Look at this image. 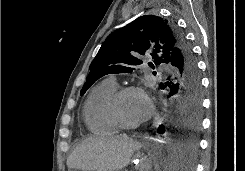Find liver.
<instances>
[{
    "label": "liver",
    "mask_w": 245,
    "mask_h": 171,
    "mask_svg": "<svg viewBox=\"0 0 245 171\" xmlns=\"http://www.w3.org/2000/svg\"><path fill=\"white\" fill-rule=\"evenodd\" d=\"M140 142L124 136L90 137L82 141L67 159L69 169L118 171L128 166Z\"/></svg>",
    "instance_id": "obj_1"
}]
</instances>
